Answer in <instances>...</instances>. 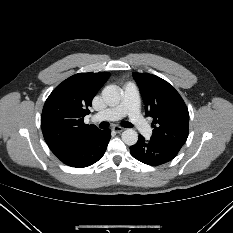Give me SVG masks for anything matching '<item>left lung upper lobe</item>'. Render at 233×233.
<instances>
[{"label": "left lung upper lobe", "mask_w": 233, "mask_h": 233, "mask_svg": "<svg viewBox=\"0 0 233 233\" xmlns=\"http://www.w3.org/2000/svg\"><path fill=\"white\" fill-rule=\"evenodd\" d=\"M133 77L140 88L146 114L153 118L151 140L179 151L189 129V112L182 97L160 77L141 73H133Z\"/></svg>", "instance_id": "5c2ea615"}]
</instances>
